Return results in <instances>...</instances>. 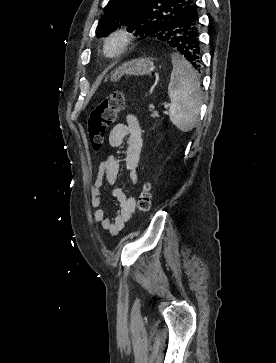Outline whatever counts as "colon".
Returning a JSON list of instances; mask_svg holds the SVG:
<instances>
[{
	"label": "colon",
	"mask_w": 276,
	"mask_h": 363,
	"mask_svg": "<svg viewBox=\"0 0 276 363\" xmlns=\"http://www.w3.org/2000/svg\"><path fill=\"white\" fill-rule=\"evenodd\" d=\"M125 107L123 92L116 91L102 100L90 113L88 118V133L92 146L101 148L107 129L114 123L117 114ZM138 209L147 212L152 206L151 185L145 183L138 196Z\"/></svg>",
	"instance_id": "5ec220e1"
}]
</instances>
